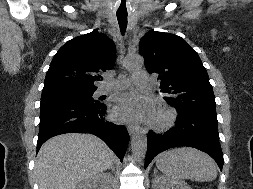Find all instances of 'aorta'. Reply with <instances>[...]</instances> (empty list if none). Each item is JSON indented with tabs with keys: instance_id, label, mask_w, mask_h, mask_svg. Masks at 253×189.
<instances>
[{
	"instance_id": "aorta-1",
	"label": "aorta",
	"mask_w": 253,
	"mask_h": 189,
	"mask_svg": "<svg viewBox=\"0 0 253 189\" xmlns=\"http://www.w3.org/2000/svg\"><path fill=\"white\" fill-rule=\"evenodd\" d=\"M143 60L140 56H133L128 59L127 66L131 69L140 68ZM132 154L137 161H143L147 151V136L143 130H138L132 136Z\"/></svg>"
}]
</instances>
